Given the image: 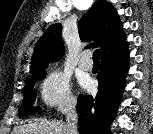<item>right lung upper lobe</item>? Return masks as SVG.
<instances>
[{
    "label": "right lung upper lobe",
    "mask_w": 153,
    "mask_h": 134,
    "mask_svg": "<svg viewBox=\"0 0 153 134\" xmlns=\"http://www.w3.org/2000/svg\"><path fill=\"white\" fill-rule=\"evenodd\" d=\"M82 41L93 43L100 47L102 54L121 43L126 37L117 11L105 0L97 1L93 7L80 19L78 24ZM64 54V44L61 38V24L51 25L37 41L31 59L30 73L44 71L50 61L59 60Z\"/></svg>",
    "instance_id": "1"
}]
</instances>
